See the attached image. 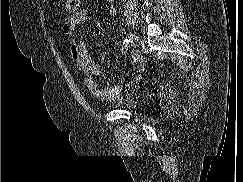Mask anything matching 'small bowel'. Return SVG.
Segmentation results:
<instances>
[{
	"label": "small bowel",
	"instance_id": "c3829d8e",
	"mask_svg": "<svg viewBox=\"0 0 243 182\" xmlns=\"http://www.w3.org/2000/svg\"><path fill=\"white\" fill-rule=\"evenodd\" d=\"M88 11L85 7L80 8L74 14L65 18L62 24V31L70 40L71 58L76 69L82 75V82L88 88L90 93L97 99L106 101L114 100L121 91L128 85L124 75L118 77L117 83L109 88H101L96 81V76L101 71V66L94 61L89 55L85 43L76 36V28L79 24L87 19ZM121 52H125V47H121ZM131 62L138 66L139 72L145 68V60L139 52H134L131 56ZM138 75L132 83L140 81Z\"/></svg>",
	"mask_w": 243,
	"mask_h": 182
}]
</instances>
